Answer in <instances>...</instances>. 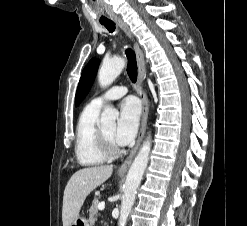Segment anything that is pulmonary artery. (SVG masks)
<instances>
[{"label": "pulmonary artery", "instance_id": "pulmonary-artery-1", "mask_svg": "<svg viewBox=\"0 0 247 226\" xmlns=\"http://www.w3.org/2000/svg\"><path fill=\"white\" fill-rule=\"evenodd\" d=\"M127 91L128 89L126 86H122V85L113 86L103 94L93 98L89 105L100 109L106 102L121 98L127 93Z\"/></svg>", "mask_w": 247, "mask_h": 226}]
</instances>
